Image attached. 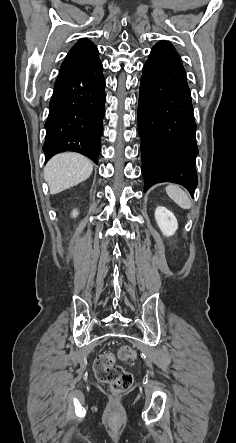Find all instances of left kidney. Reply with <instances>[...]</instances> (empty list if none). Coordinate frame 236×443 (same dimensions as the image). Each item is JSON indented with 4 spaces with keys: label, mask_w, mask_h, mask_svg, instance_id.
<instances>
[{
    "label": "left kidney",
    "mask_w": 236,
    "mask_h": 443,
    "mask_svg": "<svg viewBox=\"0 0 236 443\" xmlns=\"http://www.w3.org/2000/svg\"><path fill=\"white\" fill-rule=\"evenodd\" d=\"M156 222L165 236H172L178 229V222L174 214L163 206L155 210Z\"/></svg>",
    "instance_id": "1"
}]
</instances>
